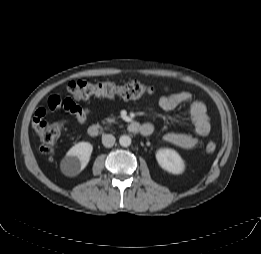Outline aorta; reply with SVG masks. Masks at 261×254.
Listing matches in <instances>:
<instances>
[{
	"mask_svg": "<svg viewBox=\"0 0 261 254\" xmlns=\"http://www.w3.org/2000/svg\"><path fill=\"white\" fill-rule=\"evenodd\" d=\"M119 143L123 147H128V146L131 145V138L129 136H127V135H122L119 138Z\"/></svg>",
	"mask_w": 261,
	"mask_h": 254,
	"instance_id": "762f6f07",
	"label": "aorta"
}]
</instances>
